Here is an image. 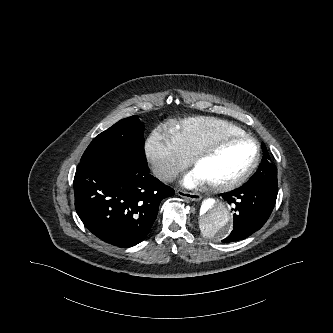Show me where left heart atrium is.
I'll return each mask as SVG.
<instances>
[{
  "instance_id": "39dd6f15",
  "label": "left heart atrium",
  "mask_w": 333,
  "mask_h": 333,
  "mask_svg": "<svg viewBox=\"0 0 333 333\" xmlns=\"http://www.w3.org/2000/svg\"><path fill=\"white\" fill-rule=\"evenodd\" d=\"M204 178L202 177V175L197 171V170H193L189 173H187L183 179H182V184L186 187H195L197 185H199L200 183L204 182Z\"/></svg>"
}]
</instances>
